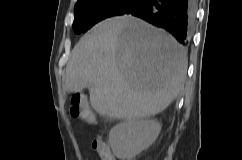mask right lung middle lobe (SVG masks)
<instances>
[{
    "label": "right lung middle lobe",
    "instance_id": "obj_1",
    "mask_svg": "<svg viewBox=\"0 0 242 160\" xmlns=\"http://www.w3.org/2000/svg\"><path fill=\"white\" fill-rule=\"evenodd\" d=\"M142 0H82L74 8L73 30L86 32L97 22L123 15Z\"/></svg>",
    "mask_w": 242,
    "mask_h": 160
}]
</instances>
